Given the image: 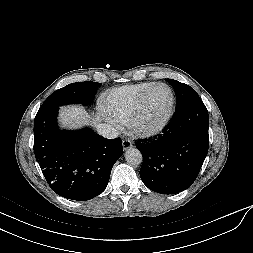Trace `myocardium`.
<instances>
[{"label":"myocardium","instance_id":"1","mask_svg":"<svg viewBox=\"0 0 253 253\" xmlns=\"http://www.w3.org/2000/svg\"><path fill=\"white\" fill-rule=\"evenodd\" d=\"M159 86H164L168 88L171 93V106L169 113L166 116V118L156 126L151 127L142 126L140 125V118L144 110L147 98L150 95V93ZM176 103H177L176 95L173 88L170 85L162 82L154 83L152 86L146 89L144 93L141 95L137 107L127 123L128 128L130 129L131 133L139 137H151L159 134L170 124L171 120L173 119L176 112Z\"/></svg>","mask_w":253,"mask_h":253}]
</instances>
